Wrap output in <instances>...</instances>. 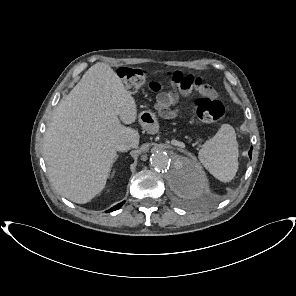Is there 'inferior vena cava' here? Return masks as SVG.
I'll return each instance as SVG.
<instances>
[{"instance_id": "602c4592", "label": "inferior vena cava", "mask_w": 296, "mask_h": 296, "mask_svg": "<svg viewBox=\"0 0 296 296\" xmlns=\"http://www.w3.org/2000/svg\"><path fill=\"white\" fill-rule=\"evenodd\" d=\"M133 147H134L133 143L127 139H122L119 142H117L115 145L116 150L120 152L128 151Z\"/></svg>"}]
</instances>
